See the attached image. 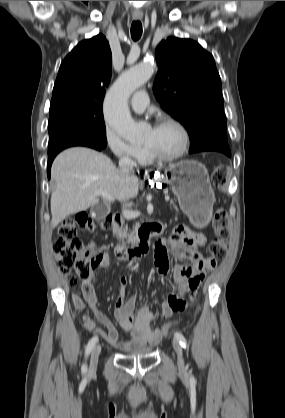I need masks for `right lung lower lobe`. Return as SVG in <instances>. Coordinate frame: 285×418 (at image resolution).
<instances>
[{
	"mask_svg": "<svg viewBox=\"0 0 285 418\" xmlns=\"http://www.w3.org/2000/svg\"><path fill=\"white\" fill-rule=\"evenodd\" d=\"M72 146H85V147H90V148H93V149H96V150H99V151H101V150H103V149L105 148L104 146H102V145H100V144H98V143H96V142H90V141H80V142H76V143L70 144V145H68V146H66V147H64V148H62L61 150L57 151L55 154H53V155L49 156V161H48V164H47V174H48V178H50V174H51V165H52V162H53V160H54L55 156H56V155H57L60 151H62L63 149L68 148V147H72Z\"/></svg>",
	"mask_w": 285,
	"mask_h": 418,
	"instance_id": "obj_1",
	"label": "right lung lower lobe"
}]
</instances>
